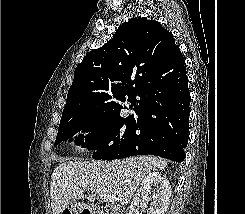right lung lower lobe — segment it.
I'll list each match as a JSON object with an SVG mask.
<instances>
[{
    "instance_id": "1",
    "label": "right lung lower lobe",
    "mask_w": 245,
    "mask_h": 214,
    "mask_svg": "<svg viewBox=\"0 0 245 214\" xmlns=\"http://www.w3.org/2000/svg\"><path fill=\"white\" fill-rule=\"evenodd\" d=\"M189 103L188 78L176 85L163 81L154 86L134 109L127 142L112 152V159L156 155L182 162L189 138Z\"/></svg>"
}]
</instances>
